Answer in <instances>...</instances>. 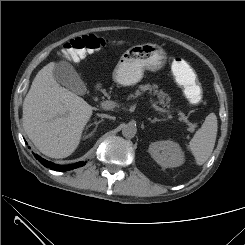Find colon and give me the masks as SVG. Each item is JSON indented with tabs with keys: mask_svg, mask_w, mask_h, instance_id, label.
Here are the masks:
<instances>
[{
	"mask_svg": "<svg viewBox=\"0 0 245 245\" xmlns=\"http://www.w3.org/2000/svg\"><path fill=\"white\" fill-rule=\"evenodd\" d=\"M105 46V40L95 35H84L70 40L65 46L64 55L74 61L84 58ZM181 59V58H180ZM179 61H185L183 59ZM186 62V61H185ZM182 85L185 97L193 104H199L203 99L201 83L196 79L176 78Z\"/></svg>",
	"mask_w": 245,
	"mask_h": 245,
	"instance_id": "1",
	"label": "colon"
}]
</instances>
